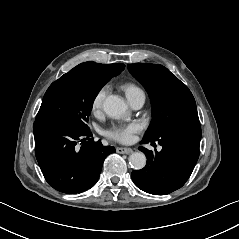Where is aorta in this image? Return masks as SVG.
<instances>
[{
    "mask_svg": "<svg viewBox=\"0 0 239 239\" xmlns=\"http://www.w3.org/2000/svg\"><path fill=\"white\" fill-rule=\"evenodd\" d=\"M104 112L113 119L124 118L128 115V106L124 99L115 94L108 95L103 103ZM131 166L140 170L146 165V156L142 152H134L129 157Z\"/></svg>",
    "mask_w": 239,
    "mask_h": 239,
    "instance_id": "1",
    "label": "aorta"
}]
</instances>
